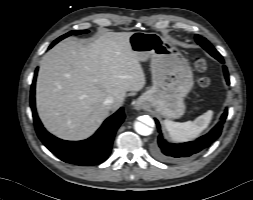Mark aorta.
<instances>
[{"mask_svg":"<svg viewBox=\"0 0 253 200\" xmlns=\"http://www.w3.org/2000/svg\"><path fill=\"white\" fill-rule=\"evenodd\" d=\"M134 129L138 134L143 135V136H148L152 134V131H153L151 127L138 121L134 123Z\"/></svg>","mask_w":253,"mask_h":200,"instance_id":"762f6f07","label":"aorta"}]
</instances>
